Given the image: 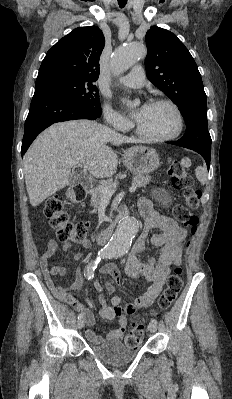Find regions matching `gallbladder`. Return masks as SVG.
Masks as SVG:
<instances>
[{
    "label": "gallbladder",
    "mask_w": 232,
    "mask_h": 399,
    "mask_svg": "<svg viewBox=\"0 0 232 399\" xmlns=\"http://www.w3.org/2000/svg\"><path fill=\"white\" fill-rule=\"evenodd\" d=\"M70 184H71V186H77V184H78V180H77L76 176H72V174L70 176Z\"/></svg>",
    "instance_id": "gallbladder-1"
}]
</instances>
